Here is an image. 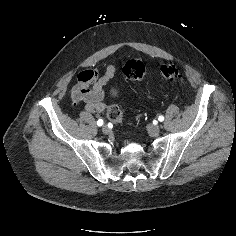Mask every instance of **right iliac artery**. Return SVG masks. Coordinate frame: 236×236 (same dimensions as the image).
<instances>
[{"mask_svg":"<svg viewBox=\"0 0 236 236\" xmlns=\"http://www.w3.org/2000/svg\"><path fill=\"white\" fill-rule=\"evenodd\" d=\"M97 125L100 127V126H102L103 125V120L102 119H99L98 121H97Z\"/></svg>","mask_w":236,"mask_h":236,"instance_id":"1","label":"right iliac artery"}]
</instances>
